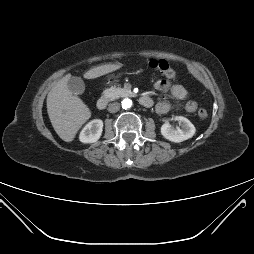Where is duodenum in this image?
<instances>
[{"mask_svg": "<svg viewBox=\"0 0 254 254\" xmlns=\"http://www.w3.org/2000/svg\"><path fill=\"white\" fill-rule=\"evenodd\" d=\"M139 102L144 107H151L153 105V101L148 96H142L139 98ZM108 105V100L105 97H101L97 100L96 106L99 110H104Z\"/></svg>", "mask_w": 254, "mask_h": 254, "instance_id": "1", "label": "duodenum"}]
</instances>
